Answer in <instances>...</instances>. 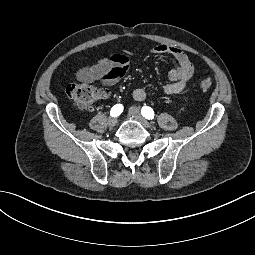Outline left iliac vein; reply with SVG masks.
I'll list each match as a JSON object with an SVG mask.
<instances>
[{"label": "left iliac vein", "instance_id": "4c4485c4", "mask_svg": "<svg viewBox=\"0 0 255 255\" xmlns=\"http://www.w3.org/2000/svg\"><path fill=\"white\" fill-rule=\"evenodd\" d=\"M129 113L143 125L146 129H152L153 126L141 116L140 109L136 106H132L129 108Z\"/></svg>", "mask_w": 255, "mask_h": 255}]
</instances>
